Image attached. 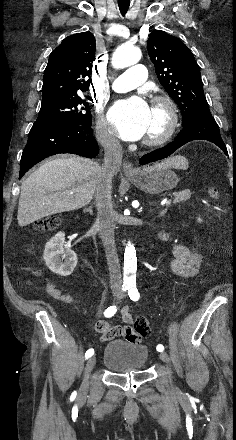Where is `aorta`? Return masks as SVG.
<instances>
[{
  "label": "aorta",
  "mask_w": 236,
  "mask_h": 440,
  "mask_svg": "<svg viewBox=\"0 0 236 440\" xmlns=\"http://www.w3.org/2000/svg\"><path fill=\"white\" fill-rule=\"evenodd\" d=\"M141 50L137 47L121 46L117 48L112 57L115 69H122L138 63L141 59ZM137 270V257L134 245L128 243L124 252V279L131 281Z\"/></svg>",
  "instance_id": "aorta-1"
}]
</instances>
